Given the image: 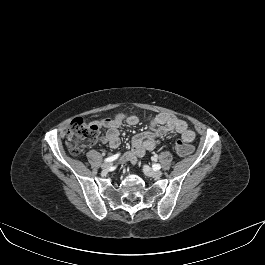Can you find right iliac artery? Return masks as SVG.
I'll return each mask as SVG.
<instances>
[{
    "label": "right iliac artery",
    "mask_w": 265,
    "mask_h": 265,
    "mask_svg": "<svg viewBox=\"0 0 265 265\" xmlns=\"http://www.w3.org/2000/svg\"><path fill=\"white\" fill-rule=\"evenodd\" d=\"M118 157H119V153H117V154H115V155H113V156H110V157L106 158L104 161H105V162H112V161H114L115 159H117Z\"/></svg>",
    "instance_id": "obj_1"
}]
</instances>
